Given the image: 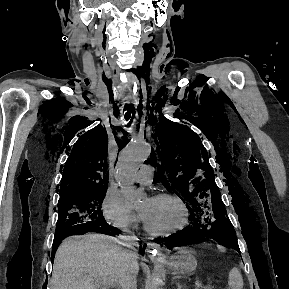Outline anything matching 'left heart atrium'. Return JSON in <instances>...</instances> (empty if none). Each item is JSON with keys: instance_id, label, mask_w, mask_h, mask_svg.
<instances>
[{"instance_id": "39dd6f15", "label": "left heart atrium", "mask_w": 289, "mask_h": 289, "mask_svg": "<svg viewBox=\"0 0 289 289\" xmlns=\"http://www.w3.org/2000/svg\"><path fill=\"white\" fill-rule=\"evenodd\" d=\"M141 217H142V219H144L145 215H144V214H141Z\"/></svg>"}]
</instances>
